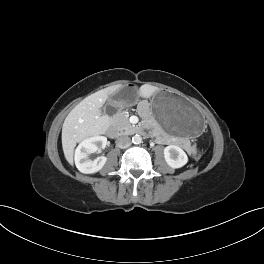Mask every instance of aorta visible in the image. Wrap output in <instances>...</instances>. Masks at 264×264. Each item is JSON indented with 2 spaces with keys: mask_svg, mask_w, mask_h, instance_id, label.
I'll return each mask as SVG.
<instances>
[{
  "mask_svg": "<svg viewBox=\"0 0 264 264\" xmlns=\"http://www.w3.org/2000/svg\"><path fill=\"white\" fill-rule=\"evenodd\" d=\"M132 142L134 144H140L142 142V137L140 135H135L132 137Z\"/></svg>",
  "mask_w": 264,
  "mask_h": 264,
  "instance_id": "762f6f07",
  "label": "aorta"
}]
</instances>
